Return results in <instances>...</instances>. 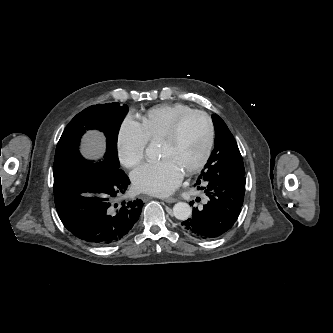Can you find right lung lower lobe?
<instances>
[{"label": "right lung lower lobe", "mask_w": 333, "mask_h": 333, "mask_svg": "<svg viewBox=\"0 0 333 333\" xmlns=\"http://www.w3.org/2000/svg\"><path fill=\"white\" fill-rule=\"evenodd\" d=\"M130 180L112 160L85 165L54 178L57 213L75 237L96 246L124 238L141 214V199L116 204Z\"/></svg>", "instance_id": "1"}]
</instances>
